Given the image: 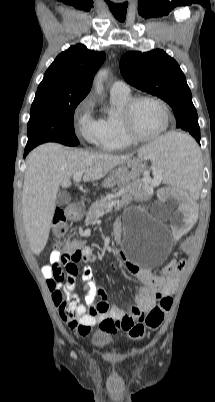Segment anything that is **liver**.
<instances>
[{
  "mask_svg": "<svg viewBox=\"0 0 215 402\" xmlns=\"http://www.w3.org/2000/svg\"><path fill=\"white\" fill-rule=\"evenodd\" d=\"M128 157L69 150L57 143L40 145L29 153L22 189V216L34 254H40L47 244L59 188L71 186V177L80 171L85 182L99 180Z\"/></svg>",
  "mask_w": 215,
  "mask_h": 402,
  "instance_id": "obj_1",
  "label": "liver"
}]
</instances>
